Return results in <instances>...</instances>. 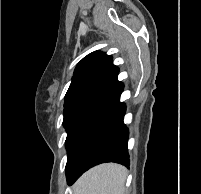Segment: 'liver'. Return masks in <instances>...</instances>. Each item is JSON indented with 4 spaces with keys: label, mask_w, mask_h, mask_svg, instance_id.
<instances>
[{
    "label": "liver",
    "mask_w": 201,
    "mask_h": 194,
    "mask_svg": "<svg viewBox=\"0 0 201 194\" xmlns=\"http://www.w3.org/2000/svg\"><path fill=\"white\" fill-rule=\"evenodd\" d=\"M127 170L116 163L98 165L74 184V194H125Z\"/></svg>",
    "instance_id": "6515ba94"
}]
</instances>
